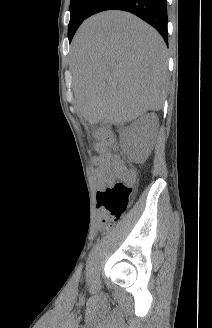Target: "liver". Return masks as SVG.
<instances>
[{
  "label": "liver",
  "instance_id": "liver-1",
  "mask_svg": "<svg viewBox=\"0 0 212 328\" xmlns=\"http://www.w3.org/2000/svg\"><path fill=\"white\" fill-rule=\"evenodd\" d=\"M70 69L77 111L90 123H126L164 103L166 46L138 17L105 11L76 32Z\"/></svg>",
  "mask_w": 212,
  "mask_h": 328
}]
</instances>
